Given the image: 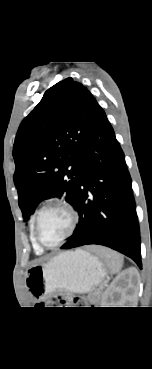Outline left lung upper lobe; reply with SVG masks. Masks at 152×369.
I'll use <instances>...</instances> for the list:
<instances>
[{"label": "left lung upper lobe", "mask_w": 152, "mask_h": 369, "mask_svg": "<svg viewBox=\"0 0 152 369\" xmlns=\"http://www.w3.org/2000/svg\"><path fill=\"white\" fill-rule=\"evenodd\" d=\"M99 108L82 84L67 78L49 88L20 124L14 183L25 221L42 200L57 194L74 206L81 156Z\"/></svg>", "instance_id": "left-lung-upper-lobe-1"}]
</instances>
